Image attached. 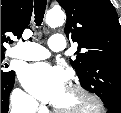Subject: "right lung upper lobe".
I'll return each mask as SVG.
<instances>
[{
	"label": "right lung upper lobe",
	"instance_id": "cb5924a9",
	"mask_svg": "<svg viewBox=\"0 0 121 113\" xmlns=\"http://www.w3.org/2000/svg\"><path fill=\"white\" fill-rule=\"evenodd\" d=\"M33 0H1V52H5L3 43H12L8 34L21 37L30 22Z\"/></svg>",
	"mask_w": 121,
	"mask_h": 113
}]
</instances>
